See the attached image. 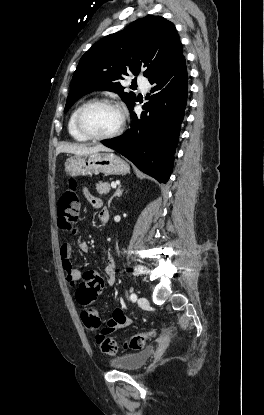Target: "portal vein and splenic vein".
Masks as SVG:
<instances>
[{
  "label": "portal vein and splenic vein",
  "mask_w": 264,
  "mask_h": 415,
  "mask_svg": "<svg viewBox=\"0 0 264 415\" xmlns=\"http://www.w3.org/2000/svg\"><path fill=\"white\" fill-rule=\"evenodd\" d=\"M111 187H112V188H116V183L112 182V183H111Z\"/></svg>",
  "instance_id": "18ae733b"
}]
</instances>
